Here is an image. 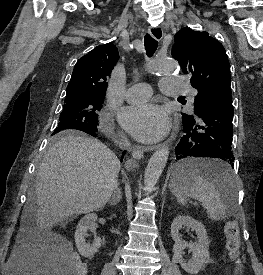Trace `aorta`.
<instances>
[{"instance_id": "762f6f07", "label": "aorta", "mask_w": 263, "mask_h": 275, "mask_svg": "<svg viewBox=\"0 0 263 275\" xmlns=\"http://www.w3.org/2000/svg\"><path fill=\"white\" fill-rule=\"evenodd\" d=\"M178 64L174 60L155 59L148 66L151 73L171 74L176 72ZM169 156V148L163 146L159 148L150 158L144 174L145 189L150 191L157 184L164 167L166 166Z\"/></svg>"}]
</instances>
